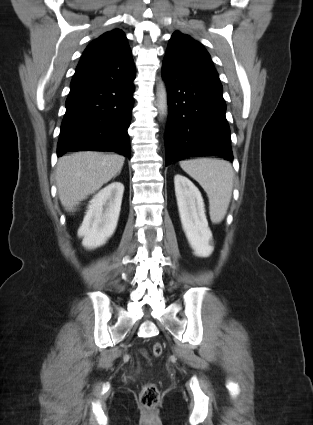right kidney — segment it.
<instances>
[{
	"label": "right kidney",
	"mask_w": 313,
	"mask_h": 425,
	"mask_svg": "<svg viewBox=\"0 0 313 425\" xmlns=\"http://www.w3.org/2000/svg\"><path fill=\"white\" fill-rule=\"evenodd\" d=\"M124 185L113 182L100 190L90 201L84 220L78 229L82 245L94 249L106 243L117 227Z\"/></svg>",
	"instance_id": "right-kidney-1"
}]
</instances>
